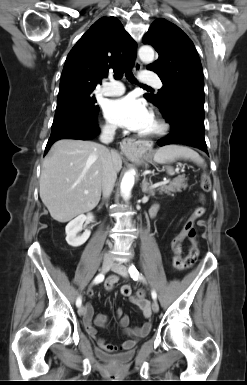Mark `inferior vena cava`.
Returning a JSON list of instances; mask_svg holds the SVG:
<instances>
[{
  "instance_id": "1",
  "label": "inferior vena cava",
  "mask_w": 247,
  "mask_h": 385,
  "mask_svg": "<svg viewBox=\"0 0 247 385\" xmlns=\"http://www.w3.org/2000/svg\"><path fill=\"white\" fill-rule=\"evenodd\" d=\"M116 127L107 125L102 129L100 140L104 144H109L113 141ZM106 148V147H105ZM117 178V172L114 168L113 161L108 149L102 157V193L103 198L108 199L113 191Z\"/></svg>"
}]
</instances>
